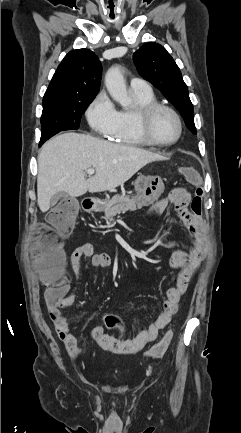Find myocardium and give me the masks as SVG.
<instances>
[{
    "mask_svg": "<svg viewBox=\"0 0 241 433\" xmlns=\"http://www.w3.org/2000/svg\"><path fill=\"white\" fill-rule=\"evenodd\" d=\"M160 111L169 112L174 117L178 125L177 136L174 140L170 142L159 141L154 137L152 133L151 127H152L153 119L156 116V114ZM136 117H137V124H138L139 131L142 137L145 139V141L150 145L160 146V147L172 146L176 144L182 136L183 123L181 117L178 114V112L171 106H168L163 103H158V102H153L147 105H143L137 109Z\"/></svg>",
    "mask_w": 241,
    "mask_h": 433,
    "instance_id": "obj_1",
    "label": "myocardium"
}]
</instances>
